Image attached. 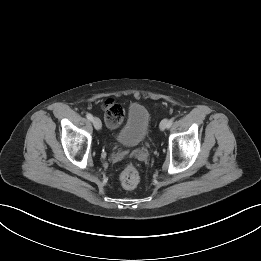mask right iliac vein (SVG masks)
<instances>
[{"label": "right iliac vein", "mask_w": 261, "mask_h": 261, "mask_svg": "<svg viewBox=\"0 0 261 261\" xmlns=\"http://www.w3.org/2000/svg\"><path fill=\"white\" fill-rule=\"evenodd\" d=\"M93 125H94L95 129L100 130L102 127L101 120L97 117L93 118Z\"/></svg>", "instance_id": "1"}]
</instances>
